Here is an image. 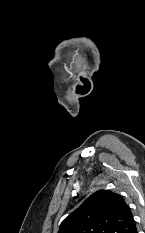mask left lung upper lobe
I'll return each mask as SVG.
<instances>
[{
  "mask_svg": "<svg viewBox=\"0 0 145 233\" xmlns=\"http://www.w3.org/2000/svg\"><path fill=\"white\" fill-rule=\"evenodd\" d=\"M135 227L123 197L110 190H99L61 223L58 233H132Z\"/></svg>",
  "mask_w": 145,
  "mask_h": 233,
  "instance_id": "obj_1",
  "label": "left lung upper lobe"
}]
</instances>
